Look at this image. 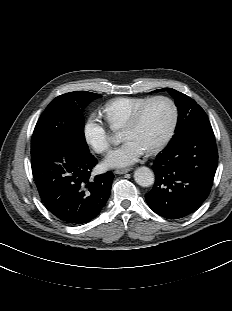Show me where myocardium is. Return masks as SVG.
<instances>
[{
    "instance_id": "obj_1",
    "label": "myocardium",
    "mask_w": 232,
    "mask_h": 311,
    "mask_svg": "<svg viewBox=\"0 0 232 311\" xmlns=\"http://www.w3.org/2000/svg\"><path fill=\"white\" fill-rule=\"evenodd\" d=\"M156 101H166L167 103H169L172 109V119L163 138L157 144L146 150L149 153H155L160 151L167 145V143L172 138L178 122V107L176 103L171 98L163 95L151 97L150 99L145 101L140 107H138V109L133 113L129 121L123 127V130H130L136 127L141 121L147 108Z\"/></svg>"
}]
</instances>
